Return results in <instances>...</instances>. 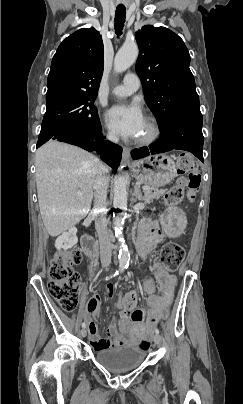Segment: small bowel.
I'll use <instances>...</instances> for the list:
<instances>
[{"label": "small bowel", "instance_id": "obj_1", "mask_svg": "<svg viewBox=\"0 0 243 404\" xmlns=\"http://www.w3.org/2000/svg\"><path fill=\"white\" fill-rule=\"evenodd\" d=\"M137 240V249L141 258L148 262L159 281L160 294L150 295L148 303L150 309H136L129 317H124L119 325L112 322L109 325V338L99 339L98 325L89 320V340L96 350L111 346H125L136 343L144 334L152 333L160 319L168 313L174 299L177 279L168 273L166 268L157 260L149 258L150 253L162 241V233L158 223L143 221L140 224ZM109 296L112 295V287H108ZM100 296L93 295L87 304V311L95 317L99 315Z\"/></svg>", "mask_w": 243, "mask_h": 404}]
</instances>
